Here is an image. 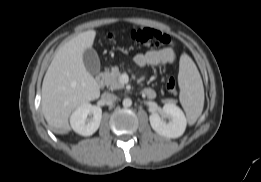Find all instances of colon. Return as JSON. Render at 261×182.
I'll use <instances>...</instances> for the list:
<instances>
[{"label": "colon", "mask_w": 261, "mask_h": 182, "mask_svg": "<svg viewBox=\"0 0 261 182\" xmlns=\"http://www.w3.org/2000/svg\"><path fill=\"white\" fill-rule=\"evenodd\" d=\"M131 40L141 47L159 48L170 42L167 34L148 27L135 28L130 33ZM168 92L174 94L176 92V82L173 77H169L166 82Z\"/></svg>", "instance_id": "obj_1"}]
</instances>
